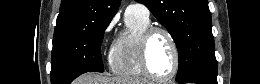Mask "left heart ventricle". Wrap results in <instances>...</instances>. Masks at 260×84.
I'll use <instances>...</instances> for the list:
<instances>
[{
    "label": "left heart ventricle",
    "instance_id": "b2bd125f",
    "mask_svg": "<svg viewBox=\"0 0 260 84\" xmlns=\"http://www.w3.org/2000/svg\"><path fill=\"white\" fill-rule=\"evenodd\" d=\"M149 65L158 76L166 77L174 65L173 49L169 39L162 33H156L149 44Z\"/></svg>",
    "mask_w": 260,
    "mask_h": 84
}]
</instances>
